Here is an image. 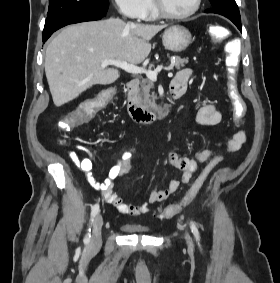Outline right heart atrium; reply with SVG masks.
<instances>
[{
  "label": "right heart atrium",
  "mask_w": 280,
  "mask_h": 283,
  "mask_svg": "<svg viewBox=\"0 0 280 283\" xmlns=\"http://www.w3.org/2000/svg\"><path fill=\"white\" fill-rule=\"evenodd\" d=\"M121 14L132 19H143L148 11L149 0H115Z\"/></svg>",
  "instance_id": "1"
}]
</instances>
